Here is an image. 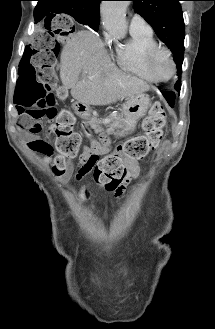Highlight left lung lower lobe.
<instances>
[{"mask_svg": "<svg viewBox=\"0 0 215 329\" xmlns=\"http://www.w3.org/2000/svg\"><path fill=\"white\" fill-rule=\"evenodd\" d=\"M163 96L165 97V99L167 100V102L169 103V105L171 107L174 106V98H175V94L173 92H164Z\"/></svg>", "mask_w": 215, "mask_h": 329, "instance_id": "0a47b994", "label": "left lung lower lobe"}]
</instances>
